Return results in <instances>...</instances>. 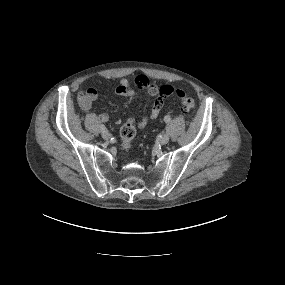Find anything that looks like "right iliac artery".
<instances>
[{
  "label": "right iliac artery",
  "instance_id": "right-iliac-artery-1",
  "mask_svg": "<svg viewBox=\"0 0 285 285\" xmlns=\"http://www.w3.org/2000/svg\"><path fill=\"white\" fill-rule=\"evenodd\" d=\"M100 130H101V131H105V130H106V127H105L104 125H101V126H100Z\"/></svg>",
  "mask_w": 285,
  "mask_h": 285
}]
</instances>
